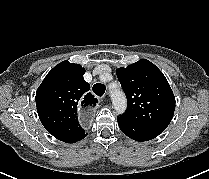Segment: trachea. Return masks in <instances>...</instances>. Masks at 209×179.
Wrapping results in <instances>:
<instances>
[{
  "mask_svg": "<svg viewBox=\"0 0 209 179\" xmlns=\"http://www.w3.org/2000/svg\"><path fill=\"white\" fill-rule=\"evenodd\" d=\"M93 92L98 95V96H102L104 93H105V90H106V87L104 84L102 83H96L94 86H93Z\"/></svg>",
  "mask_w": 209,
  "mask_h": 179,
  "instance_id": "obj_1",
  "label": "trachea"
}]
</instances>
